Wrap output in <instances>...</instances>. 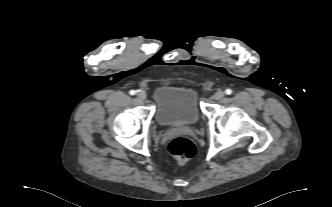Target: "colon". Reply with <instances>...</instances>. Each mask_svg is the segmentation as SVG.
Segmentation results:
<instances>
[{"mask_svg":"<svg viewBox=\"0 0 332 207\" xmlns=\"http://www.w3.org/2000/svg\"><path fill=\"white\" fill-rule=\"evenodd\" d=\"M169 152L175 156L180 162L191 159L196 153L194 143L187 137H175L168 144Z\"/></svg>","mask_w":332,"mask_h":207,"instance_id":"5ec220e1","label":"colon"}]
</instances>
